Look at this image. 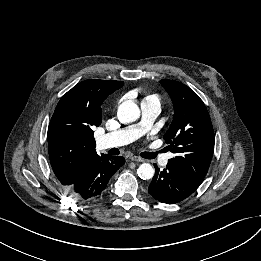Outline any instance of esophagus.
Returning <instances> with one entry per match:
<instances>
[{
    "instance_id": "1",
    "label": "esophagus",
    "mask_w": 261,
    "mask_h": 261,
    "mask_svg": "<svg viewBox=\"0 0 261 261\" xmlns=\"http://www.w3.org/2000/svg\"><path fill=\"white\" fill-rule=\"evenodd\" d=\"M130 159L132 161H137V162H144L145 160L141 157H138V156H131Z\"/></svg>"
}]
</instances>
